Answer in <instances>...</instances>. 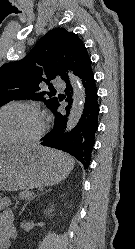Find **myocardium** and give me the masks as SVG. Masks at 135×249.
<instances>
[{
  "label": "myocardium",
  "mask_w": 135,
  "mask_h": 249,
  "mask_svg": "<svg viewBox=\"0 0 135 249\" xmlns=\"http://www.w3.org/2000/svg\"><path fill=\"white\" fill-rule=\"evenodd\" d=\"M10 107H22L36 113L40 119V128L38 132L30 138L0 140V144L31 145L37 143L43 137L47 128V118L45 112L38 105L24 101L6 103L0 107V112Z\"/></svg>",
  "instance_id": "f54148a6"
}]
</instances>
